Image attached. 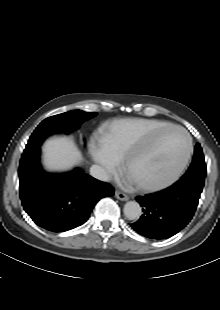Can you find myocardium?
Returning <instances> with one entry per match:
<instances>
[{"mask_svg": "<svg viewBox=\"0 0 220 310\" xmlns=\"http://www.w3.org/2000/svg\"><path fill=\"white\" fill-rule=\"evenodd\" d=\"M168 130L179 131V132L183 133L184 136L186 137L187 149H186L185 156H184L181 164L179 165V167L167 179H165L164 181H161L159 183H154V184H149V185L138 184V188L140 190L157 191V190H160V189H163V188L170 186L179 178V176L181 175V173L183 172V170L185 169L186 165L189 162V159H190V156L192 153V149H193V141H192L190 134L184 128H182L180 126L168 125L162 129H160L159 131H157L154 135H157L159 133L163 134L164 132H166ZM139 150H140V146H137L136 148L129 151L126 154V156L123 158L122 169L125 173H128V168H129L130 164L132 163V161L138 155Z\"/></svg>", "mask_w": 220, "mask_h": 310, "instance_id": "f54148a6", "label": "myocardium"}]
</instances>
